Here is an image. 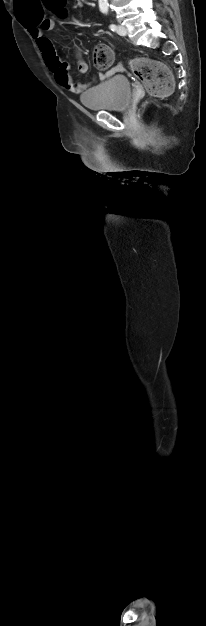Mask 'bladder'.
I'll return each instance as SVG.
<instances>
[{
	"mask_svg": "<svg viewBox=\"0 0 206 626\" xmlns=\"http://www.w3.org/2000/svg\"><path fill=\"white\" fill-rule=\"evenodd\" d=\"M132 98L130 81L122 75H115L87 90L80 97L84 107L92 111H122Z\"/></svg>",
	"mask_w": 206,
	"mask_h": 626,
	"instance_id": "1",
	"label": "bladder"
}]
</instances>
